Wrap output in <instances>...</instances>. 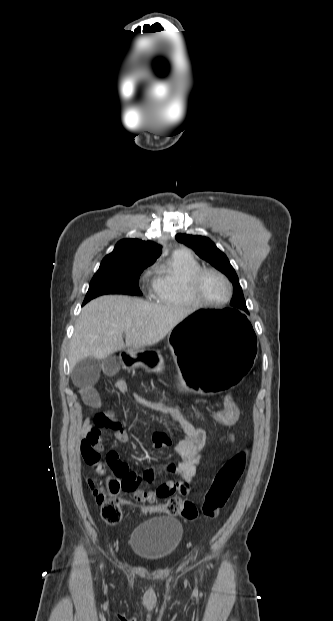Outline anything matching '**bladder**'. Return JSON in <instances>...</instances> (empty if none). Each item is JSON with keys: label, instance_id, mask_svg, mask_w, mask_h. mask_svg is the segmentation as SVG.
I'll use <instances>...</instances> for the list:
<instances>
[{"label": "bladder", "instance_id": "1", "mask_svg": "<svg viewBox=\"0 0 333 621\" xmlns=\"http://www.w3.org/2000/svg\"><path fill=\"white\" fill-rule=\"evenodd\" d=\"M183 539L181 522L169 516H159L137 526L131 533L133 553L147 562H161L172 556Z\"/></svg>", "mask_w": 333, "mask_h": 621}]
</instances>
